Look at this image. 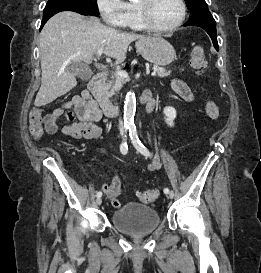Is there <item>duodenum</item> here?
<instances>
[{"label": "duodenum", "mask_w": 261, "mask_h": 273, "mask_svg": "<svg viewBox=\"0 0 261 273\" xmlns=\"http://www.w3.org/2000/svg\"><path fill=\"white\" fill-rule=\"evenodd\" d=\"M107 79V75L104 72L97 73L89 82L88 88L83 93L87 99H93L92 95L97 96L96 102L99 110L107 117L116 116L120 112V107L117 104L112 103L107 97L101 94V88ZM141 102L147 111L152 110L154 102L149 93H145L141 97Z\"/></svg>", "instance_id": "1"}]
</instances>
